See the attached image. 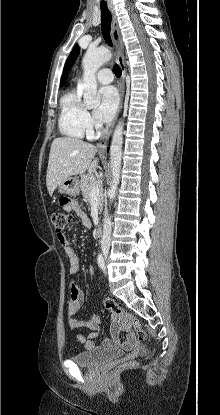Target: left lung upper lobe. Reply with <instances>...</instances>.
I'll use <instances>...</instances> for the list:
<instances>
[{
    "instance_id": "left-lung-upper-lobe-1",
    "label": "left lung upper lobe",
    "mask_w": 220,
    "mask_h": 415,
    "mask_svg": "<svg viewBox=\"0 0 220 415\" xmlns=\"http://www.w3.org/2000/svg\"><path fill=\"white\" fill-rule=\"evenodd\" d=\"M79 46L76 45L73 50L71 51L69 57L66 60L65 63V67H64V71H66L67 69H69L75 62V60L77 59L78 55H79Z\"/></svg>"
}]
</instances>
